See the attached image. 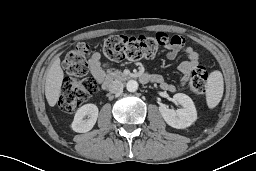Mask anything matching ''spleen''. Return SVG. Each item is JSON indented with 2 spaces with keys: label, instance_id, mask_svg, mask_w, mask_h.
<instances>
[{
  "label": "spleen",
  "instance_id": "3e777b00",
  "mask_svg": "<svg viewBox=\"0 0 256 171\" xmlns=\"http://www.w3.org/2000/svg\"><path fill=\"white\" fill-rule=\"evenodd\" d=\"M224 91L223 76L220 71H213L206 84V102L210 109L216 107L222 99Z\"/></svg>",
  "mask_w": 256,
  "mask_h": 171
}]
</instances>
